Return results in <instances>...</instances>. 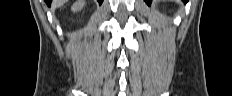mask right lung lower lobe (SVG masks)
<instances>
[{"label":"right lung lower lobe","mask_w":232,"mask_h":96,"mask_svg":"<svg viewBox=\"0 0 232 96\" xmlns=\"http://www.w3.org/2000/svg\"><path fill=\"white\" fill-rule=\"evenodd\" d=\"M52 0H45V2L50 5ZM99 2V4H101L103 2V0H97Z\"/></svg>","instance_id":"1"}]
</instances>
